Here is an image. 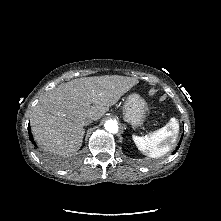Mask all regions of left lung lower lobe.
<instances>
[{
    "label": "left lung lower lobe",
    "instance_id": "left-lung-lower-lobe-1",
    "mask_svg": "<svg viewBox=\"0 0 221 221\" xmlns=\"http://www.w3.org/2000/svg\"><path fill=\"white\" fill-rule=\"evenodd\" d=\"M181 140H182V138H181ZM180 143H181V141L179 142L178 146L176 147V150L179 149ZM175 152H176V151H175ZM175 152H173V154H174Z\"/></svg>",
    "mask_w": 221,
    "mask_h": 221
}]
</instances>
